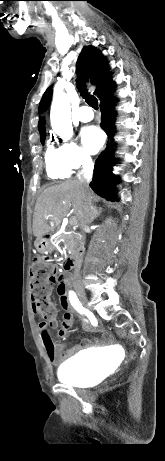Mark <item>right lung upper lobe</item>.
Returning <instances> with one entry per match:
<instances>
[{
    "label": "right lung upper lobe",
    "instance_id": "right-lung-upper-lobe-1",
    "mask_svg": "<svg viewBox=\"0 0 165 461\" xmlns=\"http://www.w3.org/2000/svg\"><path fill=\"white\" fill-rule=\"evenodd\" d=\"M77 67L85 78L90 76L92 83L97 85L95 94L99 97L101 103L113 97L114 82L110 80L111 72L108 68V62L93 46H84L79 55ZM51 94L52 89L49 87L41 99L38 109L39 113H42L48 107ZM38 130L40 136L45 134V126L42 117H40L38 122Z\"/></svg>",
    "mask_w": 165,
    "mask_h": 461
}]
</instances>
